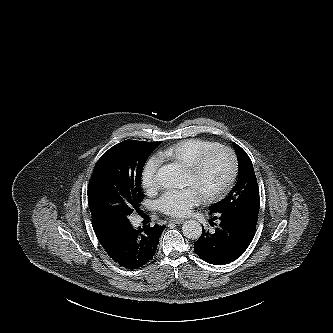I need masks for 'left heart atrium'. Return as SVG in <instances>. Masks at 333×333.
Returning <instances> with one entry per match:
<instances>
[{
	"label": "left heart atrium",
	"instance_id": "obj_1",
	"mask_svg": "<svg viewBox=\"0 0 333 333\" xmlns=\"http://www.w3.org/2000/svg\"><path fill=\"white\" fill-rule=\"evenodd\" d=\"M203 196L193 186L182 189H169L157 199L158 209L171 217H184L191 209L200 204Z\"/></svg>",
	"mask_w": 333,
	"mask_h": 333
}]
</instances>
